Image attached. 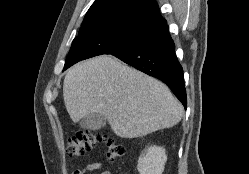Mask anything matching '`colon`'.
<instances>
[{
	"label": "colon",
	"instance_id": "5ec220e1",
	"mask_svg": "<svg viewBox=\"0 0 249 174\" xmlns=\"http://www.w3.org/2000/svg\"><path fill=\"white\" fill-rule=\"evenodd\" d=\"M106 146V159L115 161L124 154V148L117 142L107 139L104 135L91 131L83 130L77 132L68 139L67 154L71 157H80L94 150L99 144Z\"/></svg>",
	"mask_w": 249,
	"mask_h": 174
}]
</instances>
